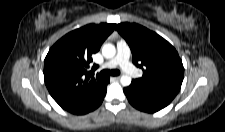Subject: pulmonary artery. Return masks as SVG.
Listing matches in <instances>:
<instances>
[{
  "mask_svg": "<svg viewBox=\"0 0 225 132\" xmlns=\"http://www.w3.org/2000/svg\"><path fill=\"white\" fill-rule=\"evenodd\" d=\"M129 56H130V49L126 41L119 40L117 42V54L116 56L111 59L110 61L106 62L103 67L104 68H113L117 65L121 66V68L129 73H134V68L129 62Z\"/></svg>",
  "mask_w": 225,
  "mask_h": 132,
  "instance_id": "1",
  "label": "pulmonary artery"
}]
</instances>
